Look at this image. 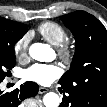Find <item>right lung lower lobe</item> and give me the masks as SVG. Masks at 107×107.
<instances>
[{"mask_svg":"<svg viewBox=\"0 0 107 107\" xmlns=\"http://www.w3.org/2000/svg\"><path fill=\"white\" fill-rule=\"evenodd\" d=\"M39 86L34 82H26L10 93L0 91V107H18L22 100L35 96Z\"/></svg>","mask_w":107,"mask_h":107,"instance_id":"98d812e1","label":"right lung lower lobe"}]
</instances>
